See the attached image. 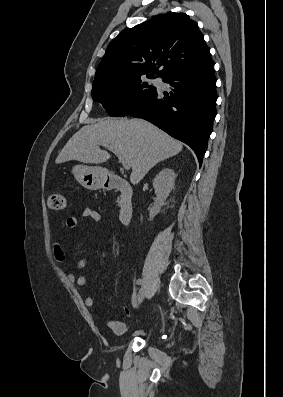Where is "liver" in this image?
<instances>
[{
    "instance_id": "obj_1",
    "label": "liver",
    "mask_w": 283,
    "mask_h": 397,
    "mask_svg": "<svg viewBox=\"0 0 283 397\" xmlns=\"http://www.w3.org/2000/svg\"><path fill=\"white\" fill-rule=\"evenodd\" d=\"M101 144L117 148L130 163V182L138 184L158 162L181 152L183 145L156 126L141 119H107L86 125L66 143L56 163L77 160L101 164L110 154L100 149Z\"/></svg>"
}]
</instances>
